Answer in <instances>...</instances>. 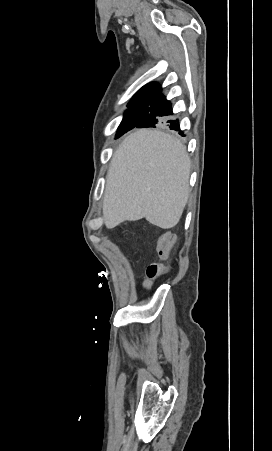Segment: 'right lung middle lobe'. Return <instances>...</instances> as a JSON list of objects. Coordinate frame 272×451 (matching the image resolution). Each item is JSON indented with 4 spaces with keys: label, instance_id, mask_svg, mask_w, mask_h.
Returning <instances> with one entry per match:
<instances>
[{
    "label": "right lung middle lobe",
    "instance_id": "right-lung-middle-lobe-1",
    "mask_svg": "<svg viewBox=\"0 0 272 451\" xmlns=\"http://www.w3.org/2000/svg\"><path fill=\"white\" fill-rule=\"evenodd\" d=\"M154 98L133 99L129 102L124 118L119 126L117 136L130 126L141 121L150 111V105Z\"/></svg>",
    "mask_w": 272,
    "mask_h": 451
}]
</instances>
